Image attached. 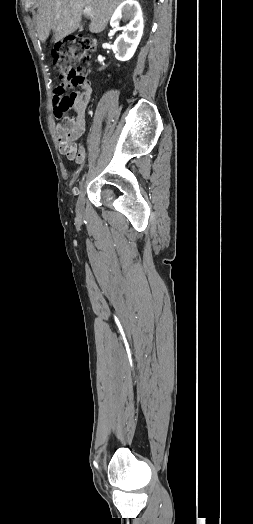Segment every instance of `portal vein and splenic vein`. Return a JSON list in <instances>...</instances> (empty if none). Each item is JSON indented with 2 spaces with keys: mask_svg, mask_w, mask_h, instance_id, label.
Returning a JSON list of instances; mask_svg holds the SVG:
<instances>
[{
  "mask_svg": "<svg viewBox=\"0 0 253 524\" xmlns=\"http://www.w3.org/2000/svg\"><path fill=\"white\" fill-rule=\"evenodd\" d=\"M84 13H85L86 15H92L93 12H92L91 7H85V9H84Z\"/></svg>",
  "mask_w": 253,
  "mask_h": 524,
  "instance_id": "obj_1",
  "label": "portal vein and splenic vein"
}]
</instances>
